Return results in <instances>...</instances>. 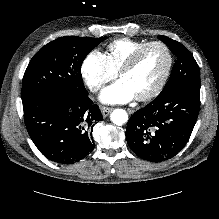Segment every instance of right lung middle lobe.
<instances>
[{
  "label": "right lung middle lobe",
  "instance_id": "dd1d6c3e",
  "mask_svg": "<svg viewBox=\"0 0 219 219\" xmlns=\"http://www.w3.org/2000/svg\"><path fill=\"white\" fill-rule=\"evenodd\" d=\"M105 39L66 36L42 47L25 71L22 101L60 90L88 94L81 76V65L87 54Z\"/></svg>",
  "mask_w": 219,
  "mask_h": 219
}]
</instances>
